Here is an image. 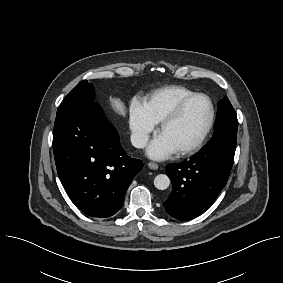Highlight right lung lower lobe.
Returning a JSON list of instances; mask_svg holds the SVG:
<instances>
[{
    "label": "right lung lower lobe",
    "mask_w": 283,
    "mask_h": 283,
    "mask_svg": "<svg viewBox=\"0 0 283 283\" xmlns=\"http://www.w3.org/2000/svg\"><path fill=\"white\" fill-rule=\"evenodd\" d=\"M53 152L69 197L93 217L115 214L132 179L143 168L141 160L126 154L117 131L96 102L56 116Z\"/></svg>",
    "instance_id": "obj_1"
}]
</instances>
